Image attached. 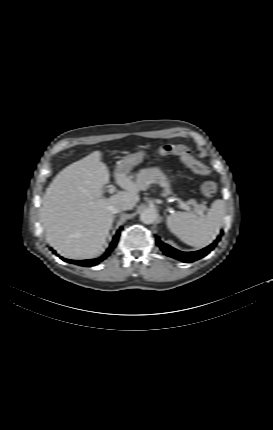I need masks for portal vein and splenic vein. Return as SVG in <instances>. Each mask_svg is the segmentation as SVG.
<instances>
[{
  "instance_id": "obj_1",
  "label": "portal vein and splenic vein",
  "mask_w": 273,
  "mask_h": 430,
  "mask_svg": "<svg viewBox=\"0 0 273 430\" xmlns=\"http://www.w3.org/2000/svg\"><path fill=\"white\" fill-rule=\"evenodd\" d=\"M113 191H114L113 188H111V189L108 190L109 193H113ZM180 207L182 209H185V210H190V207L188 205H186L185 203H183V202L180 203ZM201 213H202V211H201Z\"/></svg>"
}]
</instances>
